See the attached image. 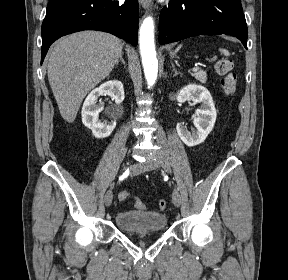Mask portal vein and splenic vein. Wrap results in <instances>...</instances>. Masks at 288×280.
Listing matches in <instances>:
<instances>
[{
  "mask_svg": "<svg viewBox=\"0 0 288 280\" xmlns=\"http://www.w3.org/2000/svg\"><path fill=\"white\" fill-rule=\"evenodd\" d=\"M199 68L198 67H193L192 71L196 72Z\"/></svg>",
  "mask_w": 288,
  "mask_h": 280,
  "instance_id": "18ae733b",
  "label": "portal vein and splenic vein"
}]
</instances>
